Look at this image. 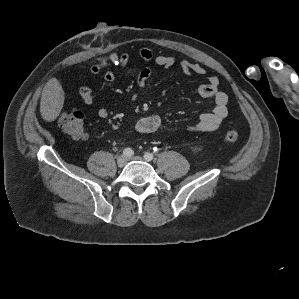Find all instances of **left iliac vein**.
Returning <instances> with one entry per match:
<instances>
[{"mask_svg":"<svg viewBox=\"0 0 299 299\" xmlns=\"http://www.w3.org/2000/svg\"><path fill=\"white\" fill-rule=\"evenodd\" d=\"M128 160H136V161H140V160H142V158L139 157V156H135V157L128 158ZM146 161H147V160H146Z\"/></svg>","mask_w":299,"mask_h":299,"instance_id":"4c4485c4","label":"left iliac vein"}]
</instances>
